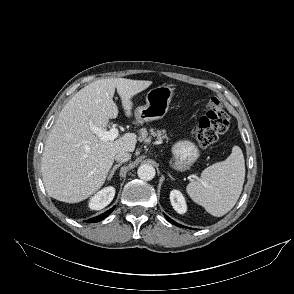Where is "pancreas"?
<instances>
[{
    "label": "pancreas",
    "mask_w": 294,
    "mask_h": 294,
    "mask_svg": "<svg viewBox=\"0 0 294 294\" xmlns=\"http://www.w3.org/2000/svg\"><path fill=\"white\" fill-rule=\"evenodd\" d=\"M149 131H150V134L156 137L159 141H163L164 139L168 140V137L165 134V130L154 131V129H150Z\"/></svg>",
    "instance_id": "pancreas-1"
}]
</instances>
